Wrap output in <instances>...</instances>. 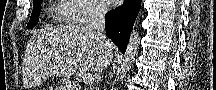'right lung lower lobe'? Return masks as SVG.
Instances as JSON below:
<instances>
[{"label": "right lung lower lobe", "mask_w": 216, "mask_h": 90, "mask_svg": "<svg viewBox=\"0 0 216 90\" xmlns=\"http://www.w3.org/2000/svg\"><path fill=\"white\" fill-rule=\"evenodd\" d=\"M140 6L141 0H127L105 15L106 34L123 54Z\"/></svg>", "instance_id": "obj_1"}]
</instances>
